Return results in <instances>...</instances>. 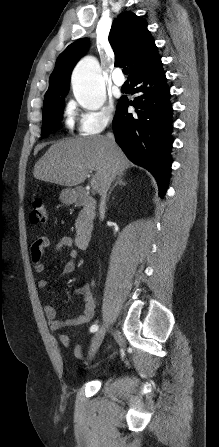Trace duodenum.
I'll use <instances>...</instances> for the list:
<instances>
[{
    "label": "duodenum",
    "instance_id": "1",
    "mask_svg": "<svg viewBox=\"0 0 219 447\" xmlns=\"http://www.w3.org/2000/svg\"><path fill=\"white\" fill-rule=\"evenodd\" d=\"M74 202L77 206L85 209L83 216L84 220H87L96 209V201L94 198L85 191H77L74 194ZM75 243L78 248L85 250L91 243V230L87 224H84L76 233Z\"/></svg>",
    "mask_w": 219,
    "mask_h": 447
}]
</instances>
